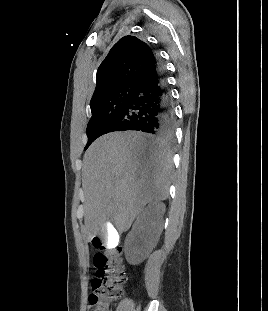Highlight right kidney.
I'll use <instances>...</instances> for the list:
<instances>
[{
  "instance_id": "1",
  "label": "right kidney",
  "mask_w": 268,
  "mask_h": 311,
  "mask_svg": "<svg viewBox=\"0 0 268 311\" xmlns=\"http://www.w3.org/2000/svg\"><path fill=\"white\" fill-rule=\"evenodd\" d=\"M164 213L165 204L153 201L138 215L124 244L129 264H140L156 246L163 230Z\"/></svg>"
}]
</instances>
